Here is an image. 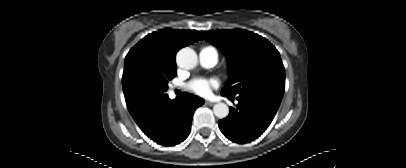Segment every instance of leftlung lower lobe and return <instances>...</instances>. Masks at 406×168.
I'll use <instances>...</instances> for the list:
<instances>
[{
  "label": "left lung lower lobe",
  "mask_w": 406,
  "mask_h": 168,
  "mask_svg": "<svg viewBox=\"0 0 406 168\" xmlns=\"http://www.w3.org/2000/svg\"><path fill=\"white\" fill-rule=\"evenodd\" d=\"M229 98H234L231 95ZM236 108L218 122L221 132L231 141L247 143L258 138L272 122L282 98L268 94L238 96Z\"/></svg>",
  "instance_id": "left-lung-lower-lobe-1"
}]
</instances>
